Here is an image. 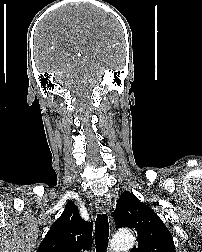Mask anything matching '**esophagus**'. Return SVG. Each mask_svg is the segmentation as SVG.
<instances>
[{"mask_svg": "<svg viewBox=\"0 0 202 252\" xmlns=\"http://www.w3.org/2000/svg\"><path fill=\"white\" fill-rule=\"evenodd\" d=\"M95 208L98 213L109 212V206L102 198H97L95 200Z\"/></svg>", "mask_w": 202, "mask_h": 252, "instance_id": "34e87169", "label": "esophagus"}]
</instances>
